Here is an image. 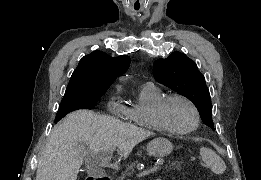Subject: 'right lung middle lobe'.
<instances>
[{"instance_id":"right-lung-middle-lobe-1","label":"right lung middle lobe","mask_w":261,"mask_h":180,"mask_svg":"<svg viewBox=\"0 0 261 180\" xmlns=\"http://www.w3.org/2000/svg\"><path fill=\"white\" fill-rule=\"evenodd\" d=\"M105 92L86 91V90H66L58 109L55 122H58L66 114L79 109H92L98 99Z\"/></svg>"}]
</instances>
